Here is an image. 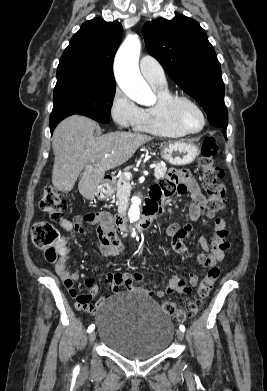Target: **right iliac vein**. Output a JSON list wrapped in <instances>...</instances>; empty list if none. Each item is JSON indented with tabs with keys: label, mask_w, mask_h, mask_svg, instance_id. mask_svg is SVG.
<instances>
[{
	"label": "right iliac vein",
	"mask_w": 267,
	"mask_h": 391,
	"mask_svg": "<svg viewBox=\"0 0 267 391\" xmlns=\"http://www.w3.org/2000/svg\"><path fill=\"white\" fill-rule=\"evenodd\" d=\"M96 339V332L95 331H91L90 334H89V341L91 343H93Z\"/></svg>",
	"instance_id": "obj_1"
}]
</instances>
